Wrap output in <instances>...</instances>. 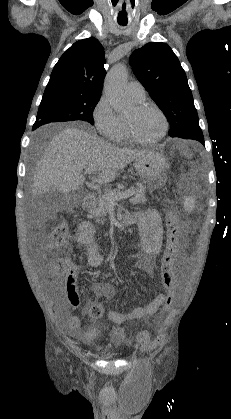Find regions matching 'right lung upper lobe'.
<instances>
[{
    "label": "right lung upper lobe",
    "mask_w": 231,
    "mask_h": 419,
    "mask_svg": "<svg viewBox=\"0 0 231 419\" xmlns=\"http://www.w3.org/2000/svg\"><path fill=\"white\" fill-rule=\"evenodd\" d=\"M104 64V48L97 39L77 41L54 66L46 88L61 87L101 95L106 75Z\"/></svg>",
    "instance_id": "right-lung-upper-lobe-1"
}]
</instances>
